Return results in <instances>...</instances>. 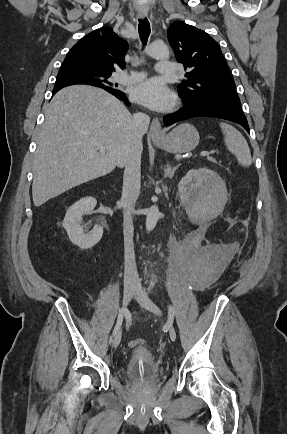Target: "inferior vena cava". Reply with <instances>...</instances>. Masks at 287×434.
Here are the masks:
<instances>
[{
	"label": "inferior vena cava",
	"instance_id": "obj_1",
	"mask_svg": "<svg viewBox=\"0 0 287 434\" xmlns=\"http://www.w3.org/2000/svg\"><path fill=\"white\" fill-rule=\"evenodd\" d=\"M133 123L136 131V147L129 153L123 178V191L121 203L123 206L124 222V255L125 269L124 281L126 283H138L139 276L137 272L134 245H133V217L134 206L140 193V176H141V152L137 145L142 142V136L147 131L150 123V117L145 113H136L133 115Z\"/></svg>",
	"mask_w": 287,
	"mask_h": 434
}]
</instances>
